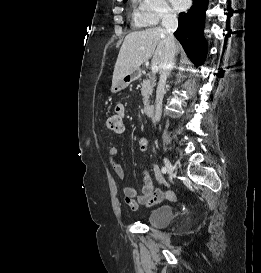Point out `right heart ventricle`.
Listing matches in <instances>:
<instances>
[{
	"mask_svg": "<svg viewBox=\"0 0 261 273\" xmlns=\"http://www.w3.org/2000/svg\"><path fill=\"white\" fill-rule=\"evenodd\" d=\"M136 16H137V14L135 13V19H136Z\"/></svg>",
	"mask_w": 261,
	"mask_h": 273,
	"instance_id": "1",
	"label": "right heart ventricle"
}]
</instances>
